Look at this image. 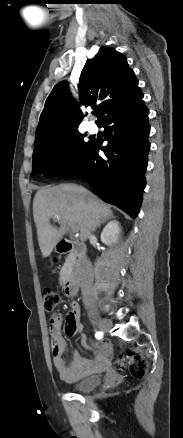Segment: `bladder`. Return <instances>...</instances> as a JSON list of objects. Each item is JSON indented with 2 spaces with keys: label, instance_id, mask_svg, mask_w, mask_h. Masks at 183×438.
Returning <instances> with one entry per match:
<instances>
[{
  "label": "bladder",
  "instance_id": "31cf9c89",
  "mask_svg": "<svg viewBox=\"0 0 183 438\" xmlns=\"http://www.w3.org/2000/svg\"><path fill=\"white\" fill-rule=\"evenodd\" d=\"M101 381L100 375L86 376L73 384V390L77 392H88L95 389Z\"/></svg>",
  "mask_w": 183,
  "mask_h": 438
}]
</instances>
